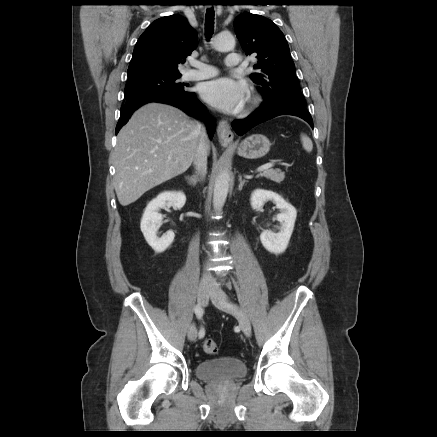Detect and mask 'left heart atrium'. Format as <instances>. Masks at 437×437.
<instances>
[{
    "label": "left heart atrium",
    "instance_id": "left-heart-atrium-1",
    "mask_svg": "<svg viewBox=\"0 0 437 437\" xmlns=\"http://www.w3.org/2000/svg\"><path fill=\"white\" fill-rule=\"evenodd\" d=\"M203 99L213 107L227 113L237 112L247 96L244 82L219 78L205 83L201 90Z\"/></svg>",
    "mask_w": 437,
    "mask_h": 437
}]
</instances>
